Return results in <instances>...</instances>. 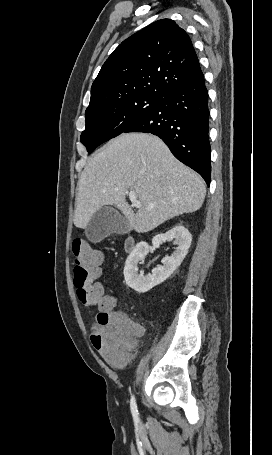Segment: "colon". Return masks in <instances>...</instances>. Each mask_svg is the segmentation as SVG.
Masks as SVG:
<instances>
[{
  "mask_svg": "<svg viewBox=\"0 0 272 455\" xmlns=\"http://www.w3.org/2000/svg\"><path fill=\"white\" fill-rule=\"evenodd\" d=\"M72 253L77 297L83 304L96 306L99 310L91 330L92 345L107 363L122 366L142 329L124 315L113 311L114 299L105 295L102 285L95 281L103 260L101 251L84 239L77 238L72 242Z\"/></svg>",
  "mask_w": 272,
  "mask_h": 455,
  "instance_id": "1",
  "label": "colon"
}]
</instances>
